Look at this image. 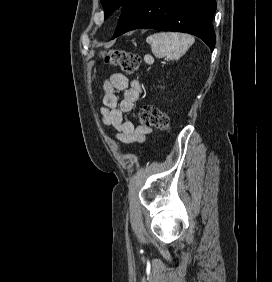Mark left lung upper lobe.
I'll list each match as a JSON object with an SVG mask.
<instances>
[{
  "instance_id": "left-lung-upper-lobe-1",
  "label": "left lung upper lobe",
  "mask_w": 272,
  "mask_h": 282,
  "mask_svg": "<svg viewBox=\"0 0 272 282\" xmlns=\"http://www.w3.org/2000/svg\"><path fill=\"white\" fill-rule=\"evenodd\" d=\"M104 12L105 19L109 17L115 10L122 7L126 0H101Z\"/></svg>"
}]
</instances>
